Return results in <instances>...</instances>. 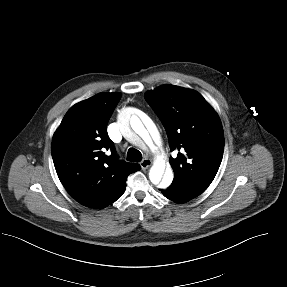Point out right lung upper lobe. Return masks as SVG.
I'll use <instances>...</instances> for the list:
<instances>
[{
	"label": "right lung upper lobe",
	"instance_id": "1",
	"mask_svg": "<svg viewBox=\"0 0 287 287\" xmlns=\"http://www.w3.org/2000/svg\"><path fill=\"white\" fill-rule=\"evenodd\" d=\"M121 98L99 93L72 106L53 135L51 152L65 189L84 206L102 209L122 196L139 164L118 160L107 123ZM108 151V152H107Z\"/></svg>",
	"mask_w": 287,
	"mask_h": 287
}]
</instances>
